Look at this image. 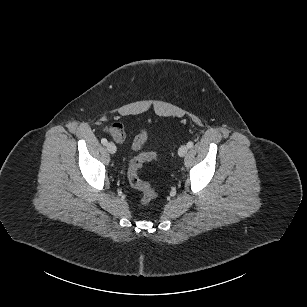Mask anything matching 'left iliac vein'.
<instances>
[{
	"label": "left iliac vein",
	"instance_id": "left-iliac-vein-1",
	"mask_svg": "<svg viewBox=\"0 0 307 307\" xmlns=\"http://www.w3.org/2000/svg\"><path fill=\"white\" fill-rule=\"evenodd\" d=\"M188 152V147L187 145H182L179 150H178V154L180 157H184Z\"/></svg>",
	"mask_w": 307,
	"mask_h": 307
}]
</instances>
